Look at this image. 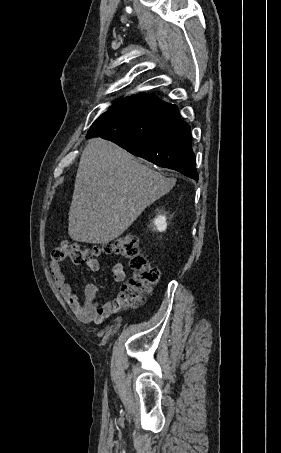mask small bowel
Wrapping results in <instances>:
<instances>
[{
  "label": "small bowel",
  "mask_w": 281,
  "mask_h": 453,
  "mask_svg": "<svg viewBox=\"0 0 281 453\" xmlns=\"http://www.w3.org/2000/svg\"><path fill=\"white\" fill-rule=\"evenodd\" d=\"M86 265L91 271L100 272V263L97 259H87ZM51 271L60 292L75 310L78 318L84 323H101L120 304L119 298H113L101 305L98 299L101 292L100 286L96 283L85 285L84 301L81 303L72 286L66 280L63 267L58 259L51 261ZM113 276L116 282H124L126 272L122 263H117L114 266Z\"/></svg>",
  "instance_id": "1"
}]
</instances>
